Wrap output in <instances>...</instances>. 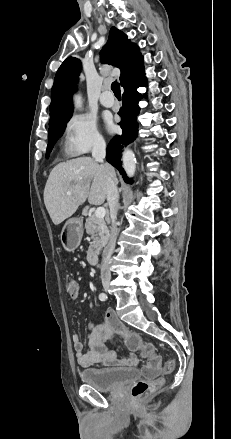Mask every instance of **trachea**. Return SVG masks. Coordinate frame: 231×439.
I'll return each mask as SVG.
<instances>
[{
  "label": "trachea",
  "mask_w": 231,
  "mask_h": 439,
  "mask_svg": "<svg viewBox=\"0 0 231 439\" xmlns=\"http://www.w3.org/2000/svg\"><path fill=\"white\" fill-rule=\"evenodd\" d=\"M111 89L116 97H121L120 84L117 81H114L112 83Z\"/></svg>",
  "instance_id": "3493384b"
}]
</instances>
